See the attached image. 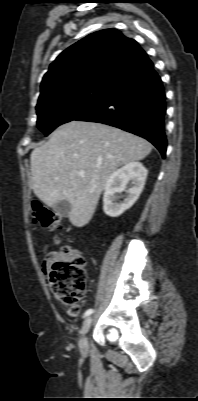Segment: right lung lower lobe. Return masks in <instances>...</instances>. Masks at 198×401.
Listing matches in <instances>:
<instances>
[{"mask_svg":"<svg viewBox=\"0 0 198 401\" xmlns=\"http://www.w3.org/2000/svg\"><path fill=\"white\" fill-rule=\"evenodd\" d=\"M165 93L147 57L139 66L108 85L103 97L74 120L111 125L150 141L165 158Z\"/></svg>","mask_w":198,"mask_h":401,"instance_id":"98d812e1","label":"right lung lower lobe"}]
</instances>
